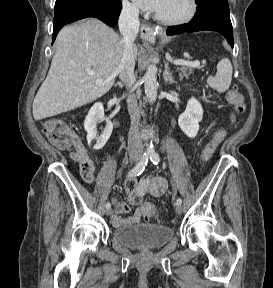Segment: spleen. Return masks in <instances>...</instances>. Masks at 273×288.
<instances>
[{"instance_id":"spleen-1","label":"spleen","mask_w":273,"mask_h":288,"mask_svg":"<svg viewBox=\"0 0 273 288\" xmlns=\"http://www.w3.org/2000/svg\"><path fill=\"white\" fill-rule=\"evenodd\" d=\"M233 68L228 58H223L217 64L216 75L207 79L208 85L216 91L223 93L229 89L232 80Z\"/></svg>"}]
</instances>
